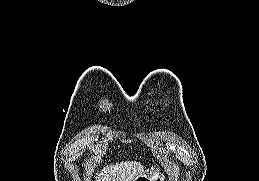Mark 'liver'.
Here are the masks:
<instances>
[{"instance_id": "1", "label": "liver", "mask_w": 259, "mask_h": 181, "mask_svg": "<svg viewBox=\"0 0 259 181\" xmlns=\"http://www.w3.org/2000/svg\"><path fill=\"white\" fill-rule=\"evenodd\" d=\"M143 166L136 161L116 163L104 167L96 176V181H134L142 174Z\"/></svg>"}]
</instances>
